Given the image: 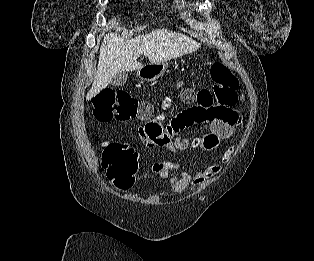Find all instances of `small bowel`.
<instances>
[{"label":"small bowel","mask_w":314,"mask_h":261,"mask_svg":"<svg viewBox=\"0 0 314 261\" xmlns=\"http://www.w3.org/2000/svg\"><path fill=\"white\" fill-rule=\"evenodd\" d=\"M184 82L179 81L175 92L183 88ZM237 98L224 105L197 106L192 109H181L180 113L166 120L165 114L172 108L173 98L167 97L161 105V113L151 123L138 127V133L147 147L165 148L167 153L188 148L205 151L217 150L223 141L229 140L234 130L241 124V116L235 109ZM203 124L207 131L192 140H185L188 131ZM151 127L152 129H148ZM232 150L226 149L221 155L222 163L230 161ZM222 166L210 164L203 169L190 172L176 161H156L151 172L167 183L172 193H182L190 186H202L209 179L219 174Z\"/></svg>","instance_id":"1"}]
</instances>
